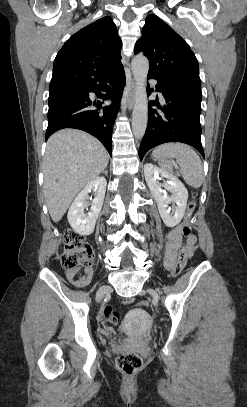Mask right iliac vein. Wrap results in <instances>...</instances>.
I'll use <instances>...</instances> for the list:
<instances>
[{
  "instance_id": "obj_1",
  "label": "right iliac vein",
  "mask_w": 247,
  "mask_h": 407,
  "mask_svg": "<svg viewBox=\"0 0 247 407\" xmlns=\"http://www.w3.org/2000/svg\"><path fill=\"white\" fill-rule=\"evenodd\" d=\"M110 290H111V288L108 285H104V286L100 287L97 292V295H96L97 300L100 301L103 298L104 294L106 292H109Z\"/></svg>"
}]
</instances>
